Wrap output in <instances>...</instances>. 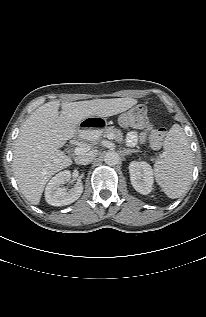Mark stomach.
<instances>
[{
    "label": "stomach",
    "mask_w": 206,
    "mask_h": 317,
    "mask_svg": "<svg viewBox=\"0 0 206 317\" xmlns=\"http://www.w3.org/2000/svg\"><path fill=\"white\" fill-rule=\"evenodd\" d=\"M116 120L111 115L88 117L75 127L76 136L85 142H95L101 136L102 130L115 127Z\"/></svg>",
    "instance_id": "0dacf381"
}]
</instances>
